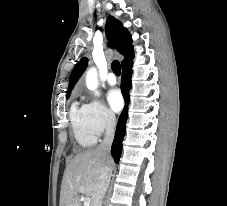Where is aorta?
Returning <instances> with one entry per match:
<instances>
[{
  "instance_id": "762f6f07",
  "label": "aorta",
  "mask_w": 227,
  "mask_h": 206,
  "mask_svg": "<svg viewBox=\"0 0 227 206\" xmlns=\"http://www.w3.org/2000/svg\"><path fill=\"white\" fill-rule=\"evenodd\" d=\"M98 85H99L98 73L96 68L92 67L87 71V74H86V86L89 90L94 91L95 95L99 96L100 93L97 90Z\"/></svg>"
}]
</instances>
